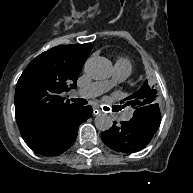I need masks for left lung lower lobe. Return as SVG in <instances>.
Returning a JSON list of instances; mask_svg holds the SVG:
<instances>
[{
	"label": "left lung lower lobe",
	"mask_w": 193,
	"mask_h": 193,
	"mask_svg": "<svg viewBox=\"0 0 193 193\" xmlns=\"http://www.w3.org/2000/svg\"><path fill=\"white\" fill-rule=\"evenodd\" d=\"M161 115L158 104L138 108L129 121L113 126L102 133L103 142L115 151L132 153L142 150L157 131Z\"/></svg>",
	"instance_id": "left-lung-lower-lobe-1"
}]
</instances>
